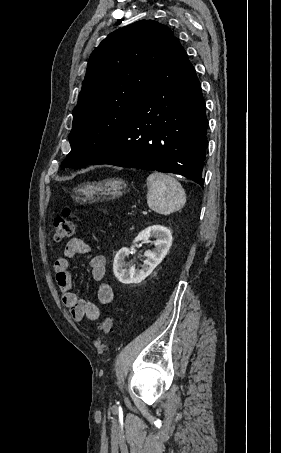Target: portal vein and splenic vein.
Instances as JSON below:
<instances>
[{
	"instance_id": "1",
	"label": "portal vein and splenic vein",
	"mask_w": 281,
	"mask_h": 453,
	"mask_svg": "<svg viewBox=\"0 0 281 453\" xmlns=\"http://www.w3.org/2000/svg\"><path fill=\"white\" fill-rule=\"evenodd\" d=\"M148 212H149V213H150V212L153 213L154 211H153V210H151V211H150V210H149V211H148V210H145V211L143 210L141 214H142V215H147ZM130 213H133V210H130Z\"/></svg>"
}]
</instances>
